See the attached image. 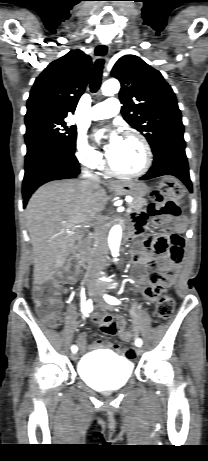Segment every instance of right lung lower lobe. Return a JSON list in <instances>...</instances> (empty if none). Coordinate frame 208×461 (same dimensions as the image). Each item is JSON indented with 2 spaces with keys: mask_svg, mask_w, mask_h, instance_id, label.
<instances>
[{
  "mask_svg": "<svg viewBox=\"0 0 208 461\" xmlns=\"http://www.w3.org/2000/svg\"><path fill=\"white\" fill-rule=\"evenodd\" d=\"M79 173L74 153L60 148L44 147L27 156L22 185L23 207L39 186L52 180L76 178Z\"/></svg>",
  "mask_w": 208,
  "mask_h": 461,
  "instance_id": "1",
  "label": "right lung lower lobe"
}]
</instances>
